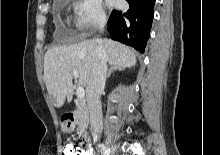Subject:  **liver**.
<instances>
[{"mask_svg":"<svg viewBox=\"0 0 220 155\" xmlns=\"http://www.w3.org/2000/svg\"><path fill=\"white\" fill-rule=\"evenodd\" d=\"M102 45L111 66L130 68L136 64V55L129 47L111 39H89L67 46L49 49L44 56V81L53 104L59 108L73 97V71L79 73L78 83L88 86L96 59V49Z\"/></svg>","mask_w":220,"mask_h":155,"instance_id":"obj_1","label":"liver"}]
</instances>
